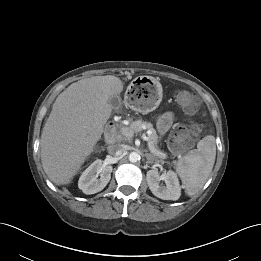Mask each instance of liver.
<instances>
[{
    "mask_svg": "<svg viewBox=\"0 0 261 261\" xmlns=\"http://www.w3.org/2000/svg\"><path fill=\"white\" fill-rule=\"evenodd\" d=\"M122 91L118 77L94 76L71 84L56 98L40 144L42 166L53 183H71L110 118L108 100Z\"/></svg>",
    "mask_w": 261,
    "mask_h": 261,
    "instance_id": "6515ba94",
    "label": "liver"
}]
</instances>
